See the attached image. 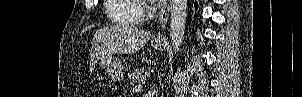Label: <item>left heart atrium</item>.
<instances>
[{"instance_id": "1", "label": "left heart atrium", "mask_w": 302, "mask_h": 97, "mask_svg": "<svg viewBox=\"0 0 302 97\" xmlns=\"http://www.w3.org/2000/svg\"><path fill=\"white\" fill-rule=\"evenodd\" d=\"M150 2H152V3H155V2H157L156 0H149Z\"/></svg>"}]
</instances>
